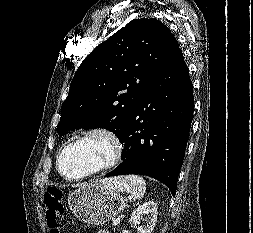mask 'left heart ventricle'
I'll use <instances>...</instances> for the list:
<instances>
[{"instance_id":"obj_1","label":"left heart ventricle","mask_w":253,"mask_h":233,"mask_svg":"<svg viewBox=\"0 0 253 233\" xmlns=\"http://www.w3.org/2000/svg\"><path fill=\"white\" fill-rule=\"evenodd\" d=\"M110 143L100 137L85 139L72 144L63 154V172L75 177L87 173L107 162L111 156Z\"/></svg>"}]
</instances>
